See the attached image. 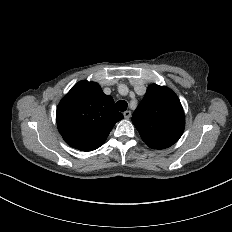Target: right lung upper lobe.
<instances>
[{"label": "right lung upper lobe", "instance_id": "right-lung-upper-lobe-1", "mask_svg": "<svg viewBox=\"0 0 232 232\" xmlns=\"http://www.w3.org/2000/svg\"><path fill=\"white\" fill-rule=\"evenodd\" d=\"M123 115L114 100L105 95L98 83L80 81L57 107V126L63 139L81 151H92L107 139Z\"/></svg>", "mask_w": 232, "mask_h": 232}]
</instances>
